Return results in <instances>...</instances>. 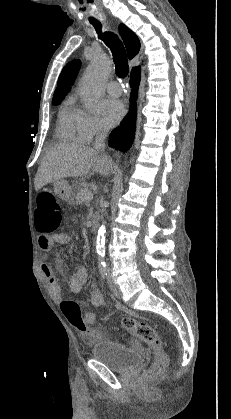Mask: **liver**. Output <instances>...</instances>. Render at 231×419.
I'll return each instance as SVG.
<instances>
[{
    "label": "liver",
    "mask_w": 231,
    "mask_h": 419,
    "mask_svg": "<svg viewBox=\"0 0 231 419\" xmlns=\"http://www.w3.org/2000/svg\"><path fill=\"white\" fill-rule=\"evenodd\" d=\"M112 160L99 151L79 144L54 145L45 155L35 176V190L48 183L67 177H82L88 174L108 175L113 171Z\"/></svg>",
    "instance_id": "obj_1"
}]
</instances>
